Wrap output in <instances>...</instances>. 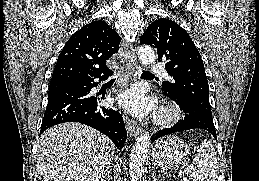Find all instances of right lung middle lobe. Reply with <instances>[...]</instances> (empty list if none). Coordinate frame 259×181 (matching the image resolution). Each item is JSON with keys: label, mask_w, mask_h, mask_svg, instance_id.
Instances as JSON below:
<instances>
[{"label": "right lung middle lobe", "mask_w": 259, "mask_h": 181, "mask_svg": "<svg viewBox=\"0 0 259 181\" xmlns=\"http://www.w3.org/2000/svg\"><path fill=\"white\" fill-rule=\"evenodd\" d=\"M64 84H60V85H50L49 86V95H51L52 93L56 92L57 90L61 89L63 87Z\"/></svg>", "instance_id": "dd1d6c3e"}]
</instances>
